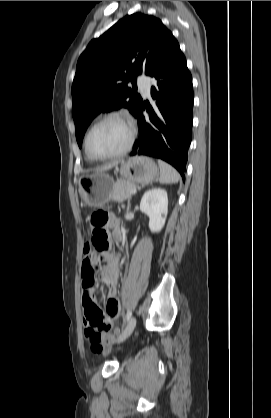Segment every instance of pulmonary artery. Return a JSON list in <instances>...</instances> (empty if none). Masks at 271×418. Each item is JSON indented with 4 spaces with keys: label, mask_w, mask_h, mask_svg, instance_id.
Returning a JSON list of instances; mask_svg holds the SVG:
<instances>
[{
    "label": "pulmonary artery",
    "mask_w": 271,
    "mask_h": 418,
    "mask_svg": "<svg viewBox=\"0 0 271 418\" xmlns=\"http://www.w3.org/2000/svg\"><path fill=\"white\" fill-rule=\"evenodd\" d=\"M150 85H151L150 78H148L146 76L139 77V79H138V86H139L141 92L145 96H149V94H150Z\"/></svg>",
    "instance_id": "1"
}]
</instances>
